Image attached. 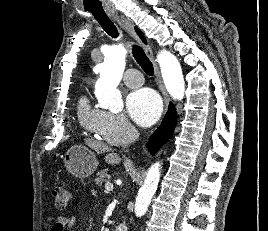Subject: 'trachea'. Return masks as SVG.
<instances>
[{"label":"trachea","mask_w":268,"mask_h":231,"mask_svg":"<svg viewBox=\"0 0 268 231\" xmlns=\"http://www.w3.org/2000/svg\"><path fill=\"white\" fill-rule=\"evenodd\" d=\"M99 24L102 26L104 31L113 38L118 37L119 33L114 25V23L110 19H97ZM132 54L137 63L141 66L144 72L150 76L154 74V67L152 62L144 53L143 49L138 45L132 46Z\"/></svg>","instance_id":"1"}]
</instances>
